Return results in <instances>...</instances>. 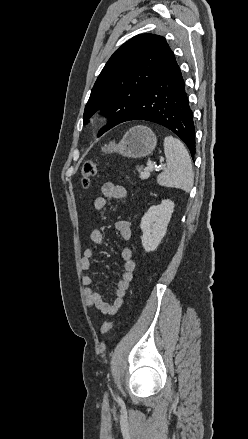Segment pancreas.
I'll return each mask as SVG.
<instances>
[{"label":"pancreas","mask_w":248,"mask_h":439,"mask_svg":"<svg viewBox=\"0 0 248 439\" xmlns=\"http://www.w3.org/2000/svg\"><path fill=\"white\" fill-rule=\"evenodd\" d=\"M142 166H139V167H137V170H138V172L140 173V177L142 178V179H144L143 178V171H142Z\"/></svg>","instance_id":"pancreas-1"}]
</instances>
